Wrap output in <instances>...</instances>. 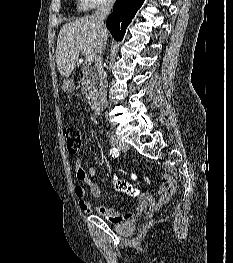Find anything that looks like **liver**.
<instances>
[{
  "mask_svg": "<svg viewBox=\"0 0 233 263\" xmlns=\"http://www.w3.org/2000/svg\"><path fill=\"white\" fill-rule=\"evenodd\" d=\"M98 41V30L93 16L65 24L58 35L56 62L60 74L69 77L76 66L79 54H93Z\"/></svg>",
  "mask_w": 233,
  "mask_h": 263,
  "instance_id": "liver-1",
  "label": "liver"
}]
</instances>
